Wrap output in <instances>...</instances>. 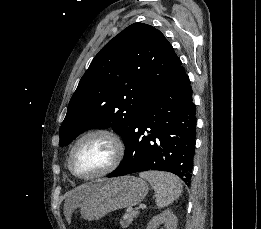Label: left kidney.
<instances>
[{
	"mask_svg": "<svg viewBox=\"0 0 261 229\" xmlns=\"http://www.w3.org/2000/svg\"><path fill=\"white\" fill-rule=\"evenodd\" d=\"M177 217L173 211H163L160 215L153 217L152 221L148 223L147 229H157L159 225H164L165 229H177Z\"/></svg>",
	"mask_w": 261,
	"mask_h": 229,
	"instance_id": "left-kidney-1",
	"label": "left kidney"
}]
</instances>
